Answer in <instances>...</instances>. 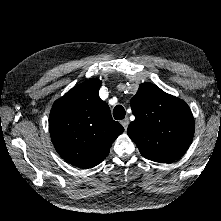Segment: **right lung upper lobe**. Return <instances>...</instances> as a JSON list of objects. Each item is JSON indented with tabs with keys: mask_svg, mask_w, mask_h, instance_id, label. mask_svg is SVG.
Segmentation results:
<instances>
[{
	"mask_svg": "<svg viewBox=\"0 0 221 221\" xmlns=\"http://www.w3.org/2000/svg\"><path fill=\"white\" fill-rule=\"evenodd\" d=\"M100 86L101 81L93 78L73 87L50 112L49 131L56 151L66 162L83 169L101 163L124 131L100 99Z\"/></svg>",
	"mask_w": 221,
	"mask_h": 221,
	"instance_id": "right-lung-upper-lobe-1",
	"label": "right lung upper lobe"
}]
</instances>
